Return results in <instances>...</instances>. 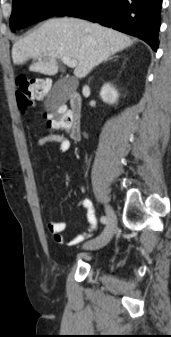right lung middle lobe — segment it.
<instances>
[{
    "mask_svg": "<svg viewBox=\"0 0 171 337\" xmlns=\"http://www.w3.org/2000/svg\"><path fill=\"white\" fill-rule=\"evenodd\" d=\"M75 0H13L10 28L13 32L54 16Z\"/></svg>",
    "mask_w": 171,
    "mask_h": 337,
    "instance_id": "1",
    "label": "right lung middle lobe"
}]
</instances>
